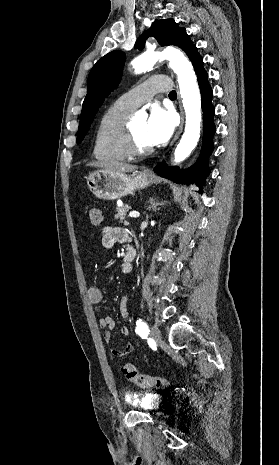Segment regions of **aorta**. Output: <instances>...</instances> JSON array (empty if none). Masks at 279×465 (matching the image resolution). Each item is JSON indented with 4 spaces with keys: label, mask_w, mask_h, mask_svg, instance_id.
Returning a JSON list of instances; mask_svg holds the SVG:
<instances>
[{
    "label": "aorta",
    "mask_w": 279,
    "mask_h": 465,
    "mask_svg": "<svg viewBox=\"0 0 279 465\" xmlns=\"http://www.w3.org/2000/svg\"><path fill=\"white\" fill-rule=\"evenodd\" d=\"M158 59H168L171 69L176 73L186 114L185 131L177 145L174 157L179 163L187 158L196 147L200 138L201 98L196 75L192 64L182 52L168 49L161 53L143 54L132 61L136 73L151 67Z\"/></svg>",
    "instance_id": "762f6f07"
}]
</instances>
